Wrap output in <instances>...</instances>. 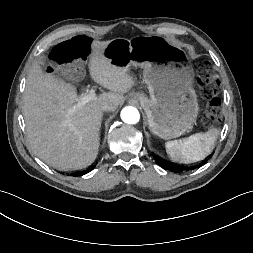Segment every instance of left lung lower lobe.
Wrapping results in <instances>:
<instances>
[{
    "mask_svg": "<svg viewBox=\"0 0 253 253\" xmlns=\"http://www.w3.org/2000/svg\"><path fill=\"white\" fill-rule=\"evenodd\" d=\"M154 159H155L156 163H157L160 167H162V168H164V169H166V170L174 171V172H176V173H179V172H182L183 170H185L183 167L178 166V165H175V164H173V163H171V162H168V161H166V160H164V159L158 157L157 155H154ZM205 162H206V160L203 161V162H202L201 164H199L198 166L204 164Z\"/></svg>",
    "mask_w": 253,
    "mask_h": 253,
    "instance_id": "0a47b994",
    "label": "left lung lower lobe"
}]
</instances>
